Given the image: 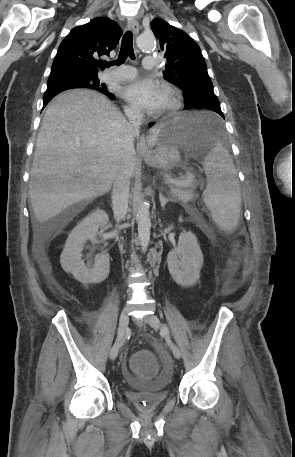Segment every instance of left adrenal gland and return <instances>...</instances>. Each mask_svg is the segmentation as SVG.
I'll list each match as a JSON object with an SVG mask.
<instances>
[{
    "label": "left adrenal gland",
    "mask_w": 295,
    "mask_h": 457,
    "mask_svg": "<svg viewBox=\"0 0 295 457\" xmlns=\"http://www.w3.org/2000/svg\"><path fill=\"white\" fill-rule=\"evenodd\" d=\"M159 199H160V203H161V207H162V208H164L165 205H166L169 201H172V199L164 197V196L162 195L161 192L159 193Z\"/></svg>",
    "instance_id": "left-adrenal-gland-1"
}]
</instances>
